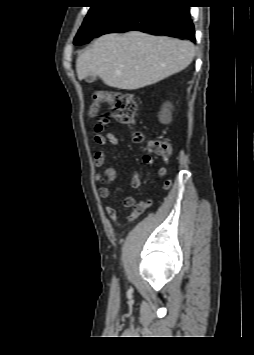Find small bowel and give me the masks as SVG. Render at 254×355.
I'll return each mask as SVG.
<instances>
[{"label": "small bowel", "instance_id": "c3829d8e", "mask_svg": "<svg viewBox=\"0 0 254 355\" xmlns=\"http://www.w3.org/2000/svg\"><path fill=\"white\" fill-rule=\"evenodd\" d=\"M103 122H104L103 128H105L108 125V120L104 119ZM98 129H99V124H98ZM99 130H101V129H99ZM94 142L100 148L105 147L107 144H111V145H118L119 144L118 138L112 132H107L106 134H103L100 132L96 133L94 136ZM143 161H144V163L155 167L156 171H157V175L159 177H164L166 175V168L158 165L152 157L144 156ZM94 162H95L96 167L101 169V172H98L94 175L95 182L101 184L98 194L102 200H105L110 195V190H109L108 186L117 180V177H118L117 172L113 167L105 166V153H104L103 149H98L95 152ZM140 184H141L140 176L137 172H134L130 178V186L134 189H137V188H139ZM144 205L145 204L136 205V200L132 196H128L124 199L123 207L124 208H132V212L128 216L129 222H132L137 218L138 214H140ZM104 211H105L106 215L114 223L120 225V221L118 219L117 211L115 208L107 205L104 207Z\"/></svg>", "mask_w": 254, "mask_h": 355}]
</instances>
